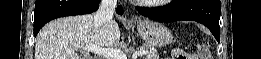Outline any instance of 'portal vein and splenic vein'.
Wrapping results in <instances>:
<instances>
[{"mask_svg": "<svg viewBox=\"0 0 261 59\" xmlns=\"http://www.w3.org/2000/svg\"><path fill=\"white\" fill-rule=\"evenodd\" d=\"M83 51L87 52H93L95 54H98L100 56H104L109 59H127L126 54L119 49H111V48H103L97 45H87L83 49ZM147 51L141 50L137 51L133 55V59H136L137 56H143L146 55Z\"/></svg>", "mask_w": 261, "mask_h": 59, "instance_id": "portal-vein-and-splenic-vein-1", "label": "portal vein and splenic vein"}]
</instances>
